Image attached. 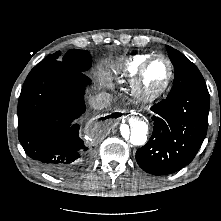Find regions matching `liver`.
Segmentation results:
<instances>
[{
  "label": "liver",
  "instance_id": "6515ba94",
  "mask_svg": "<svg viewBox=\"0 0 221 221\" xmlns=\"http://www.w3.org/2000/svg\"><path fill=\"white\" fill-rule=\"evenodd\" d=\"M98 79L100 81V85H102L105 80H107V81L111 80V77H109V75H106L104 73H100L98 76ZM93 98H94V96H90L89 100L91 101Z\"/></svg>",
  "mask_w": 221,
  "mask_h": 221
}]
</instances>
